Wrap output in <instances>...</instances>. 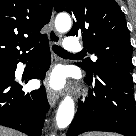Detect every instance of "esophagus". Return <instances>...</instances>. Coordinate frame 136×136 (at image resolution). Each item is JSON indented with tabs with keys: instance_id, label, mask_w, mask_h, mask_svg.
I'll list each match as a JSON object with an SVG mask.
<instances>
[{
	"instance_id": "obj_1",
	"label": "esophagus",
	"mask_w": 136,
	"mask_h": 136,
	"mask_svg": "<svg viewBox=\"0 0 136 136\" xmlns=\"http://www.w3.org/2000/svg\"><path fill=\"white\" fill-rule=\"evenodd\" d=\"M48 37L50 40L51 45H57L60 44L61 38L60 35L56 32L54 28V12L52 13L50 22H49V32H48ZM58 61V58L56 54H52V63L56 64ZM47 98L51 106H54L56 101L59 98V94L51 89L47 90Z\"/></svg>"
}]
</instances>
